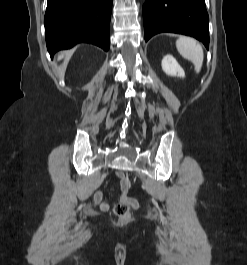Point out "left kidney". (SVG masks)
Segmentation results:
<instances>
[{
    "label": "left kidney",
    "mask_w": 247,
    "mask_h": 265,
    "mask_svg": "<svg viewBox=\"0 0 247 265\" xmlns=\"http://www.w3.org/2000/svg\"><path fill=\"white\" fill-rule=\"evenodd\" d=\"M162 69L170 76L185 77L184 70L172 55H166L162 59Z\"/></svg>",
    "instance_id": "5707ae66"
}]
</instances>
